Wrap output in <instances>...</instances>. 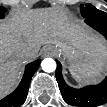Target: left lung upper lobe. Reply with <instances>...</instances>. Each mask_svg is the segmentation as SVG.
Listing matches in <instances>:
<instances>
[{
	"label": "left lung upper lobe",
	"mask_w": 107,
	"mask_h": 107,
	"mask_svg": "<svg viewBox=\"0 0 107 107\" xmlns=\"http://www.w3.org/2000/svg\"><path fill=\"white\" fill-rule=\"evenodd\" d=\"M80 9H81V14L84 18H89V17H92L94 15H98V14L103 13V11L96 9L91 4H86V6L81 5Z\"/></svg>",
	"instance_id": "1"
}]
</instances>
